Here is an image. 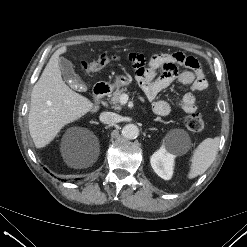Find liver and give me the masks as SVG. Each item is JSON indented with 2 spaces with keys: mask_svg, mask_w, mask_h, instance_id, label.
I'll list each match as a JSON object with an SVG mask.
<instances>
[{
  "mask_svg": "<svg viewBox=\"0 0 247 247\" xmlns=\"http://www.w3.org/2000/svg\"><path fill=\"white\" fill-rule=\"evenodd\" d=\"M66 51L63 46L54 52L31 93L28 123L37 148L48 145L65 125L80 119L94 107L89 99L73 91L63 81L59 56ZM94 161L91 159L70 166L85 168Z\"/></svg>",
  "mask_w": 247,
  "mask_h": 247,
  "instance_id": "6515ba94",
  "label": "liver"
}]
</instances>
